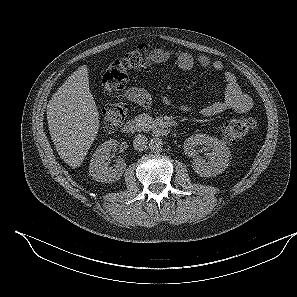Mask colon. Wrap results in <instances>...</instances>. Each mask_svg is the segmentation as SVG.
I'll return each mask as SVG.
<instances>
[{
	"label": "colon",
	"mask_w": 297,
	"mask_h": 297,
	"mask_svg": "<svg viewBox=\"0 0 297 297\" xmlns=\"http://www.w3.org/2000/svg\"><path fill=\"white\" fill-rule=\"evenodd\" d=\"M149 66L150 50L147 47L130 51L107 67L102 77V86L108 93L119 92L125 87L130 71L146 70ZM126 114L124 103L108 104L102 113L104 129L110 132L118 128L124 122ZM254 126L255 121L250 117L231 120L222 127L223 139L228 143L237 142L248 135Z\"/></svg>",
	"instance_id": "5ec220e1"
}]
</instances>
